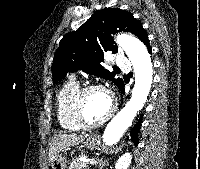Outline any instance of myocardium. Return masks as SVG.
<instances>
[{"label": "myocardium", "mask_w": 200, "mask_h": 169, "mask_svg": "<svg viewBox=\"0 0 200 169\" xmlns=\"http://www.w3.org/2000/svg\"><path fill=\"white\" fill-rule=\"evenodd\" d=\"M93 91H101L105 93L109 97L111 105H110L109 112L101 120H99L96 123H88L84 118L83 105H84V100L86 96ZM115 111H116L115 99L112 93L106 87L102 85H88L81 88L73 102L74 118L77 124L80 126V128L85 129V130L96 129L104 125L114 115Z\"/></svg>", "instance_id": "obj_1"}]
</instances>
